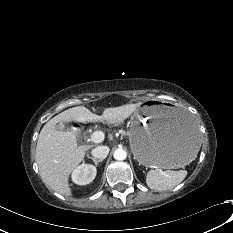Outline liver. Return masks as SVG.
<instances>
[{"label":"liver","mask_w":233,"mask_h":233,"mask_svg":"<svg viewBox=\"0 0 233 233\" xmlns=\"http://www.w3.org/2000/svg\"><path fill=\"white\" fill-rule=\"evenodd\" d=\"M142 103L126 104L107 108L101 116L93 114L84 106L67 109L49 120L42 128L36 146V163L43 183L62 195H72L69 176L82 162L89 145L78 146L74 132L58 130L63 122H105L121 123Z\"/></svg>","instance_id":"6515ba94"}]
</instances>
